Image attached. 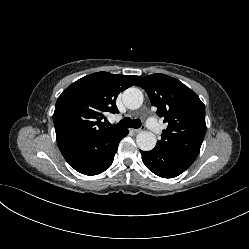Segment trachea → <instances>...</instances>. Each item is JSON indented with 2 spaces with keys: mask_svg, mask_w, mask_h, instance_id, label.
<instances>
[{
  "mask_svg": "<svg viewBox=\"0 0 249 249\" xmlns=\"http://www.w3.org/2000/svg\"><path fill=\"white\" fill-rule=\"evenodd\" d=\"M118 126L123 128H139L141 126L140 119H131L128 117H124L118 124Z\"/></svg>",
  "mask_w": 249,
  "mask_h": 249,
  "instance_id": "trachea-1",
  "label": "trachea"
}]
</instances>
